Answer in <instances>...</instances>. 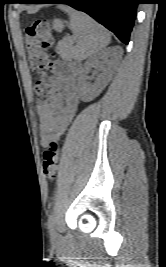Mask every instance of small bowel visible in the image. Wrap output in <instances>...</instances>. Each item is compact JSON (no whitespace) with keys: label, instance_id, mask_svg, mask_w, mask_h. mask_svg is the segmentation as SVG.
<instances>
[{"label":"small bowel","instance_id":"small-bowel-1","mask_svg":"<svg viewBox=\"0 0 166 267\" xmlns=\"http://www.w3.org/2000/svg\"><path fill=\"white\" fill-rule=\"evenodd\" d=\"M57 75V96L48 104L38 108L41 143L46 146L59 138L71 123L79 103L75 79L79 73L77 66L62 61L54 63Z\"/></svg>","mask_w":166,"mask_h":267}]
</instances>
